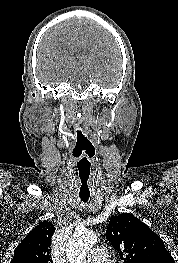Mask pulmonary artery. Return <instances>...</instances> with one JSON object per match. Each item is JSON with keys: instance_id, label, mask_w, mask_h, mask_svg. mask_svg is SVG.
I'll return each mask as SVG.
<instances>
[{"instance_id": "obj_1", "label": "pulmonary artery", "mask_w": 178, "mask_h": 263, "mask_svg": "<svg viewBox=\"0 0 178 263\" xmlns=\"http://www.w3.org/2000/svg\"><path fill=\"white\" fill-rule=\"evenodd\" d=\"M109 253L104 247L97 246L90 250L86 257V263H109Z\"/></svg>"}]
</instances>
